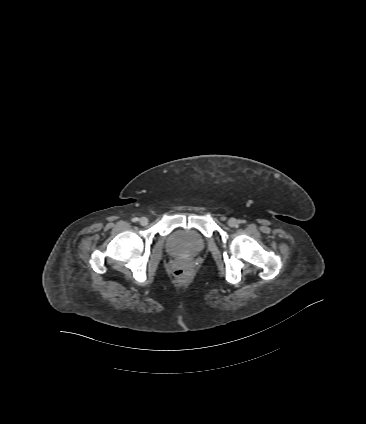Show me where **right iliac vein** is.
<instances>
[{
  "label": "right iliac vein",
  "mask_w": 366,
  "mask_h": 424,
  "mask_svg": "<svg viewBox=\"0 0 366 424\" xmlns=\"http://www.w3.org/2000/svg\"><path fill=\"white\" fill-rule=\"evenodd\" d=\"M139 222H140V224H141L142 226H146V225L148 224V219H147L146 217H142V218L139 220Z\"/></svg>",
  "instance_id": "63e3f726"
}]
</instances>
